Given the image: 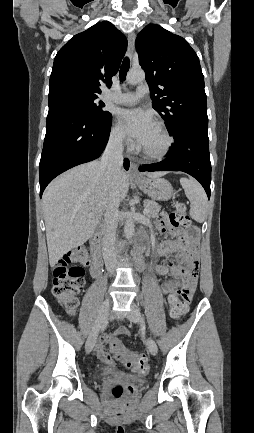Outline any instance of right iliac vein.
Returning a JSON list of instances; mask_svg holds the SVG:
<instances>
[{
  "mask_svg": "<svg viewBox=\"0 0 254 433\" xmlns=\"http://www.w3.org/2000/svg\"><path fill=\"white\" fill-rule=\"evenodd\" d=\"M110 305H111L110 299L106 298L102 304L101 309H100L96 325L93 328V330L91 331V333L89 334L88 339L86 341L85 349H86L87 353H90L95 346L98 334L102 328L103 323L105 322V320L107 319V316L109 314Z\"/></svg>",
  "mask_w": 254,
  "mask_h": 433,
  "instance_id": "1",
  "label": "right iliac vein"
}]
</instances>
